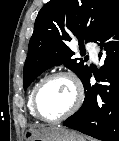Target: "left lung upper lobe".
Here are the masks:
<instances>
[{
	"label": "left lung upper lobe",
	"mask_w": 119,
	"mask_h": 141,
	"mask_svg": "<svg viewBox=\"0 0 119 141\" xmlns=\"http://www.w3.org/2000/svg\"><path fill=\"white\" fill-rule=\"evenodd\" d=\"M119 8V0H51L39 11L28 45L24 65V89L50 67L64 64L83 81L89 67L73 58L68 47L73 38L79 44L93 42L96 33ZM85 57V61H87Z\"/></svg>",
	"instance_id": "1"
}]
</instances>
